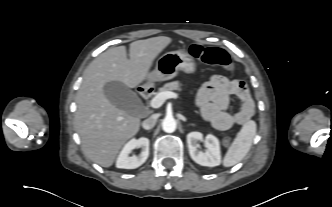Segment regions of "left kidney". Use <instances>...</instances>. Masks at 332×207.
Instances as JSON below:
<instances>
[{
  "label": "left kidney",
  "mask_w": 332,
  "mask_h": 207,
  "mask_svg": "<svg viewBox=\"0 0 332 207\" xmlns=\"http://www.w3.org/2000/svg\"><path fill=\"white\" fill-rule=\"evenodd\" d=\"M198 141H203L206 146V151L202 152L198 150ZM187 144L190 157L197 164L202 166L214 167L221 163V152L219 140L209 134L203 138V134L200 132H191L187 135Z\"/></svg>",
  "instance_id": "obj_1"
}]
</instances>
